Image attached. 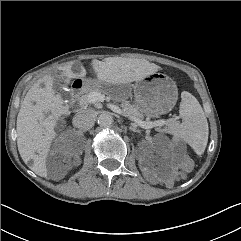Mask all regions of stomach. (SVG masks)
<instances>
[{
	"label": "stomach",
	"mask_w": 241,
	"mask_h": 241,
	"mask_svg": "<svg viewBox=\"0 0 241 241\" xmlns=\"http://www.w3.org/2000/svg\"><path fill=\"white\" fill-rule=\"evenodd\" d=\"M87 87H100L114 99H120L127 89H133V103L138 111L150 118H158L173 109L177 102L178 90L175 82L164 73H153L132 86L112 84L98 79H83Z\"/></svg>",
	"instance_id": "obj_1"
}]
</instances>
